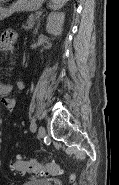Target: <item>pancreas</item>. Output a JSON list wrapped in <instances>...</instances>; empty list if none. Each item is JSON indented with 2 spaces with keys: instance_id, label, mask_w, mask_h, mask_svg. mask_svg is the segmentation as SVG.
<instances>
[{
  "instance_id": "obj_1",
  "label": "pancreas",
  "mask_w": 119,
  "mask_h": 185,
  "mask_svg": "<svg viewBox=\"0 0 119 185\" xmlns=\"http://www.w3.org/2000/svg\"><path fill=\"white\" fill-rule=\"evenodd\" d=\"M37 18H39V16L37 14L35 15H30L27 19V22H26V25H23V28L25 30H29V29H32L34 24H35V21L37 20Z\"/></svg>"
}]
</instances>
